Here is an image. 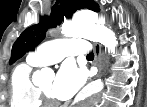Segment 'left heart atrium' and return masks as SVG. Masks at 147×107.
I'll return each mask as SVG.
<instances>
[{
    "label": "left heart atrium",
    "mask_w": 147,
    "mask_h": 107,
    "mask_svg": "<svg viewBox=\"0 0 147 107\" xmlns=\"http://www.w3.org/2000/svg\"><path fill=\"white\" fill-rule=\"evenodd\" d=\"M86 74L83 69L65 64L59 70L53 84L52 94L59 100H68L83 86Z\"/></svg>",
    "instance_id": "39dd6f15"
}]
</instances>
